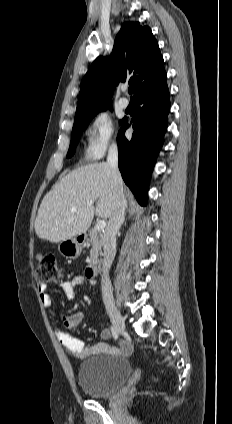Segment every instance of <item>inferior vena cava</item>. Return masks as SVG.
I'll return each instance as SVG.
<instances>
[{"label":"inferior vena cava","mask_w":232,"mask_h":424,"mask_svg":"<svg viewBox=\"0 0 232 424\" xmlns=\"http://www.w3.org/2000/svg\"><path fill=\"white\" fill-rule=\"evenodd\" d=\"M107 165L114 184V209L103 233V265H102V298L104 303L112 304L113 288L109 278V270L116 254V233L124 222L126 199L123 195L122 178L118 169V148L115 143L109 147Z\"/></svg>","instance_id":"inferior-vena-cava-1"}]
</instances>
